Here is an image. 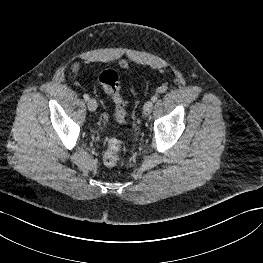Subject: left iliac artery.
Listing matches in <instances>:
<instances>
[{
    "mask_svg": "<svg viewBox=\"0 0 263 263\" xmlns=\"http://www.w3.org/2000/svg\"><path fill=\"white\" fill-rule=\"evenodd\" d=\"M157 100V96H153L152 98H151V101L152 102H155Z\"/></svg>",
    "mask_w": 263,
    "mask_h": 263,
    "instance_id": "1",
    "label": "left iliac artery"
}]
</instances>
